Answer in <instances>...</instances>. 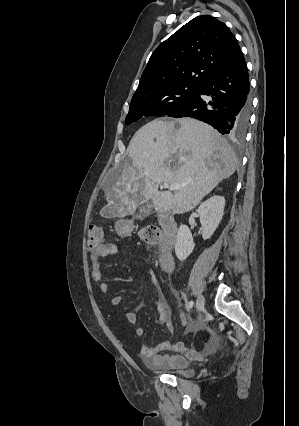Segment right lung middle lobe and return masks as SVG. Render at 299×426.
<instances>
[{
    "label": "right lung middle lobe",
    "mask_w": 299,
    "mask_h": 426,
    "mask_svg": "<svg viewBox=\"0 0 299 426\" xmlns=\"http://www.w3.org/2000/svg\"><path fill=\"white\" fill-rule=\"evenodd\" d=\"M198 87L196 84H176L132 100L125 124L129 125L143 116L172 114L196 94Z\"/></svg>",
    "instance_id": "right-lung-middle-lobe-1"
}]
</instances>
